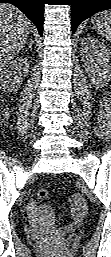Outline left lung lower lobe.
Returning a JSON list of instances; mask_svg holds the SVG:
<instances>
[{
	"instance_id": "left-lung-lower-lobe-1",
	"label": "left lung lower lobe",
	"mask_w": 111,
	"mask_h": 257,
	"mask_svg": "<svg viewBox=\"0 0 111 257\" xmlns=\"http://www.w3.org/2000/svg\"><path fill=\"white\" fill-rule=\"evenodd\" d=\"M111 8V0H72V33L78 25L98 11Z\"/></svg>"
}]
</instances>
